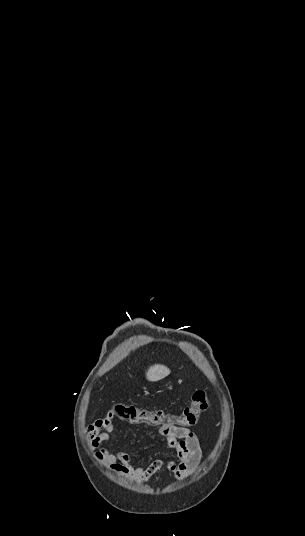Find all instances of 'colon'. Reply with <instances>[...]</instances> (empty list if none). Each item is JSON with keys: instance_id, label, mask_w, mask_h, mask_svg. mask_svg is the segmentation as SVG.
I'll return each mask as SVG.
<instances>
[{"instance_id": "colon-1", "label": "colon", "mask_w": 305, "mask_h": 536, "mask_svg": "<svg viewBox=\"0 0 305 536\" xmlns=\"http://www.w3.org/2000/svg\"><path fill=\"white\" fill-rule=\"evenodd\" d=\"M208 394L205 390H197L192 402L186 406L181 415H170L163 411L158 414L154 411L141 409L134 404H120L115 407L118 422L146 421L166 426L193 427L197 424L199 416L208 408Z\"/></svg>"}]
</instances>
